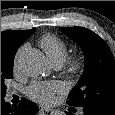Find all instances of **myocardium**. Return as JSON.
<instances>
[{
    "mask_svg": "<svg viewBox=\"0 0 115 115\" xmlns=\"http://www.w3.org/2000/svg\"><path fill=\"white\" fill-rule=\"evenodd\" d=\"M84 63L80 56L73 55L65 60V72L70 76L79 74L83 69Z\"/></svg>",
    "mask_w": 115,
    "mask_h": 115,
    "instance_id": "1",
    "label": "myocardium"
}]
</instances>
